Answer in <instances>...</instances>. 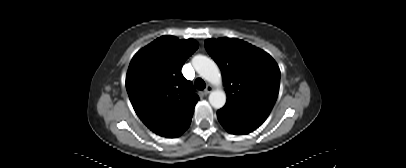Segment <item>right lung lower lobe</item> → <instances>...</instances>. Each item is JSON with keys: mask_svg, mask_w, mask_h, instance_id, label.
Here are the masks:
<instances>
[{"mask_svg": "<svg viewBox=\"0 0 406 168\" xmlns=\"http://www.w3.org/2000/svg\"><path fill=\"white\" fill-rule=\"evenodd\" d=\"M190 122H191V120H189V121L186 123V125H184L183 127H181V128L179 129V131L176 132V135H174L173 137H178L179 135H181V134L189 127ZM171 138H172V137H171Z\"/></svg>", "mask_w": 406, "mask_h": 168, "instance_id": "right-lung-lower-lobe-1", "label": "right lung lower lobe"}]
</instances>
